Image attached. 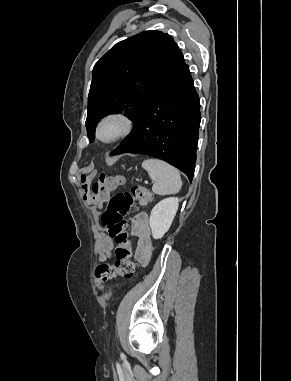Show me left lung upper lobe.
Returning <instances> with one entry per match:
<instances>
[{"label": "left lung upper lobe", "mask_w": 291, "mask_h": 381, "mask_svg": "<svg viewBox=\"0 0 291 381\" xmlns=\"http://www.w3.org/2000/svg\"><path fill=\"white\" fill-rule=\"evenodd\" d=\"M184 63L173 38L160 31H144L114 45L92 71L86 119L90 141L108 114L123 112L135 123L150 98Z\"/></svg>", "instance_id": "5c2ea615"}]
</instances>
